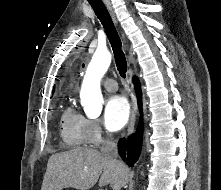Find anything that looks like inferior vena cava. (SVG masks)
I'll return each instance as SVG.
<instances>
[{
    "label": "inferior vena cava",
    "instance_id": "602c4592",
    "mask_svg": "<svg viewBox=\"0 0 221 190\" xmlns=\"http://www.w3.org/2000/svg\"><path fill=\"white\" fill-rule=\"evenodd\" d=\"M100 150L101 153L108 157L110 160L117 161V144L113 141L111 134L108 133V136L104 139Z\"/></svg>",
    "mask_w": 221,
    "mask_h": 190
}]
</instances>
